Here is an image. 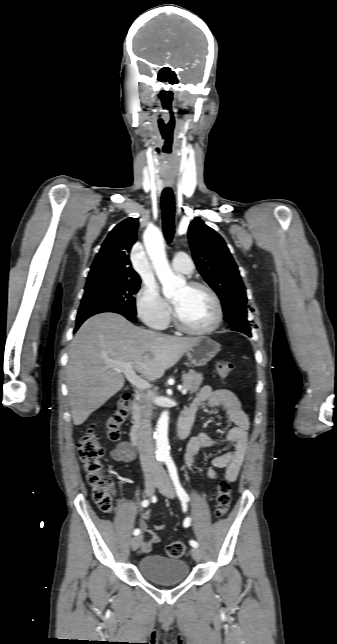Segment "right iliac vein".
Here are the masks:
<instances>
[{
  "label": "right iliac vein",
  "instance_id": "1",
  "mask_svg": "<svg viewBox=\"0 0 337 644\" xmlns=\"http://www.w3.org/2000/svg\"><path fill=\"white\" fill-rule=\"evenodd\" d=\"M158 483H159V478L157 476L149 475V476L146 477L145 486H146V493H147L148 496L153 495L154 490H155L156 486L158 485ZM141 541H142V536L141 535L133 537L131 539V548H132V550H134V551L137 550L139 548V546H140Z\"/></svg>",
  "mask_w": 337,
  "mask_h": 644
}]
</instances>
